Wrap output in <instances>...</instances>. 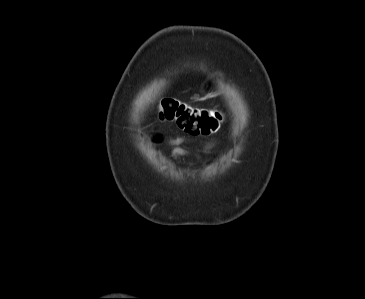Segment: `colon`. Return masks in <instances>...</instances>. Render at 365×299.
Returning a JSON list of instances; mask_svg holds the SVG:
<instances>
[{
	"label": "colon",
	"mask_w": 365,
	"mask_h": 299,
	"mask_svg": "<svg viewBox=\"0 0 365 299\" xmlns=\"http://www.w3.org/2000/svg\"><path fill=\"white\" fill-rule=\"evenodd\" d=\"M158 118L161 122L175 123L193 136H206L216 132L221 123V113L215 109L194 108L175 99L161 102Z\"/></svg>",
	"instance_id": "colon-1"
}]
</instances>
